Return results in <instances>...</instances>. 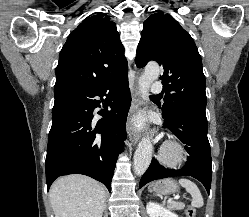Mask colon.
Listing matches in <instances>:
<instances>
[{
  "mask_svg": "<svg viewBox=\"0 0 249 217\" xmlns=\"http://www.w3.org/2000/svg\"><path fill=\"white\" fill-rule=\"evenodd\" d=\"M186 214H187V217H195L196 215L195 209L193 207H189L187 209Z\"/></svg>",
  "mask_w": 249,
  "mask_h": 217,
  "instance_id": "colon-1",
  "label": "colon"
}]
</instances>
